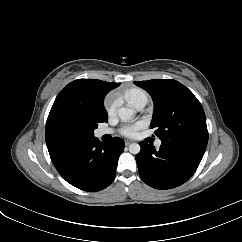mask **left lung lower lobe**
<instances>
[{
	"mask_svg": "<svg viewBox=\"0 0 242 242\" xmlns=\"http://www.w3.org/2000/svg\"><path fill=\"white\" fill-rule=\"evenodd\" d=\"M136 155L142 180L156 189H171L185 183L196 171L206 146L171 145L162 142L159 150L141 141Z\"/></svg>",
	"mask_w": 242,
	"mask_h": 242,
	"instance_id": "left-lung-lower-lobe-1",
	"label": "left lung lower lobe"
}]
</instances>
